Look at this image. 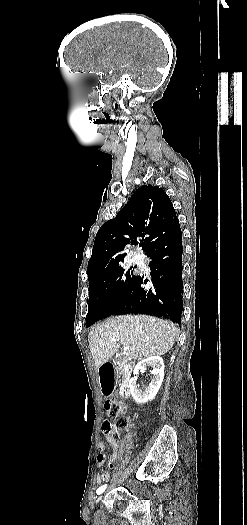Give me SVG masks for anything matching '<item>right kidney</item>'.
I'll list each match as a JSON object with an SVG mask.
<instances>
[{
	"mask_svg": "<svg viewBox=\"0 0 247 525\" xmlns=\"http://www.w3.org/2000/svg\"><path fill=\"white\" fill-rule=\"evenodd\" d=\"M146 367H152V371H150L152 377L149 387H145L144 391H141L137 383V375H139V371H145ZM164 369L161 357H148V359L137 363L133 371L134 377H131L129 381L130 393L137 405H145L148 401L155 399L164 379Z\"/></svg>",
	"mask_w": 247,
	"mask_h": 525,
	"instance_id": "right-kidney-1",
	"label": "right kidney"
}]
</instances>
